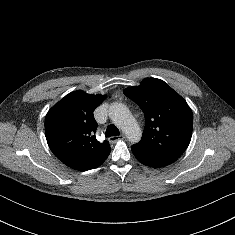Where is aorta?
I'll return each instance as SVG.
<instances>
[{
	"mask_svg": "<svg viewBox=\"0 0 235 235\" xmlns=\"http://www.w3.org/2000/svg\"><path fill=\"white\" fill-rule=\"evenodd\" d=\"M109 117L127 136L136 143L141 138V130L128 107L122 103H114L109 108Z\"/></svg>",
	"mask_w": 235,
	"mask_h": 235,
	"instance_id": "aorta-1",
	"label": "aorta"
}]
</instances>
